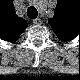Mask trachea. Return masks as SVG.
<instances>
[{
    "label": "trachea",
    "instance_id": "3493384b",
    "mask_svg": "<svg viewBox=\"0 0 80 80\" xmlns=\"http://www.w3.org/2000/svg\"><path fill=\"white\" fill-rule=\"evenodd\" d=\"M27 15H28L29 18L35 19V18H37L38 12H37V10H36L35 7L30 6V7L27 9Z\"/></svg>",
    "mask_w": 80,
    "mask_h": 80
}]
</instances>
